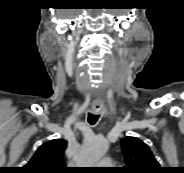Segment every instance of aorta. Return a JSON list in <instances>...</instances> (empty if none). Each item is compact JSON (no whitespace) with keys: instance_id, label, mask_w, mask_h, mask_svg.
<instances>
[{"instance_id":"obj_1","label":"aorta","mask_w":184,"mask_h":173,"mask_svg":"<svg viewBox=\"0 0 184 173\" xmlns=\"http://www.w3.org/2000/svg\"><path fill=\"white\" fill-rule=\"evenodd\" d=\"M108 144L105 139L92 137L86 139L78 156V164L81 167H93L107 152Z\"/></svg>"}]
</instances>
